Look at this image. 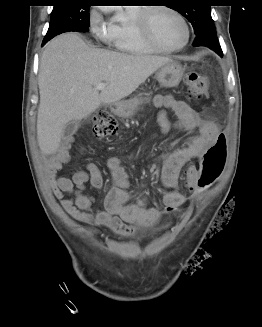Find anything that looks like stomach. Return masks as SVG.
Segmentation results:
<instances>
[{"label": "stomach", "mask_w": 262, "mask_h": 327, "mask_svg": "<svg viewBox=\"0 0 262 327\" xmlns=\"http://www.w3.org/2000/svg\"><path fill=\"white\" fill-rule=\"evenodd\" d=\"M184 69L177 62H170L162 66L156 73V79L161 86L164 87H174L177 86L183 76ZM143 100L138 98H133L130 100L116 102L111 105V111L122 118H129L134 115L138 105L142 103Z\"/></svg>", "instance_id": "1"}]
</instances>
